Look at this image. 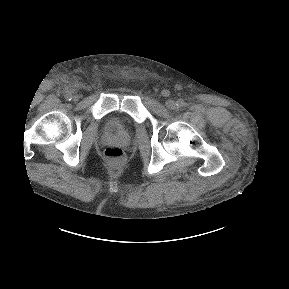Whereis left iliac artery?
<instances>
[{
	"mask_svg": "<svg viewBox=\"0 0 289 289\" xmlns=\"http://www.w3.org/2000/svg\"><path fill=\"white\" fill-rule=\"evenodd\" d=\"M176 105H177L178 107H181V106H183V102H182L181 100H179V101H177Z\"/></svg>",
	"mask_w": 289,
	"mask_h": 289,
	"instance_id": "obj_1",
	"label": "left iliac artery"
}]
</instances>
